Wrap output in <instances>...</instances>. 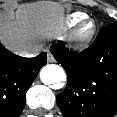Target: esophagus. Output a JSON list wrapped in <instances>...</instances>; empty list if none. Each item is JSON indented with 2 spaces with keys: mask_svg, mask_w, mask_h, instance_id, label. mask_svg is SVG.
<instances>
[{
  "mask_svg": "<svg viewBox=\"0 0 117 117\" xmlns=\"http://www.w3.org/2000/svg\"><path fill=\"white\" fill-rule=\"evenodd\" d=\"M47 62L48 63H53V62H55V58H54V56L51 54V53H47Z\"/></svg>",
  "mask_w": 117,
  "mask_h": 117,
  "instance_id": "1",
  "label": "esophagus"
}]
</instances>
